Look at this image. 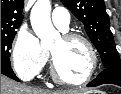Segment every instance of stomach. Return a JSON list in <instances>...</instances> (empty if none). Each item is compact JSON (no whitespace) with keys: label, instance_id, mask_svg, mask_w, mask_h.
<instances>
[{"label":"stomach","instance_id":"stomach-1","mask_svg":"<svg viewBox=\"0 0 121 94\" xmlns=\"http://www.w3.org/2000/svg\"><path fill=\"white\" fill-rule=\"evenodd\" d=\"M81 94H105L102 91H90V92H85V93H81Z\"/></svg>","mask_w":121,"mask_h":94}]
</instances>
